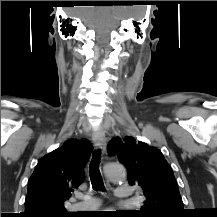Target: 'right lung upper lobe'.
<instances>
[{
  "mask_svg": "<svg viewBox=\"0 0 217 217\" xmlns=\"http://www.w3.org/2000/svg\"><path fill=\"white\" fill-rule=\"evenodd\" d=\"M86 139H70L44 156L28 181L23 217L73 216L64 202L83 182V167L92 152Z\"/></svg>",
  "mask_w": 217,
  "mask_h": 217,
  "instance_id": "obj_1",
  "label": "right lung upper lobe"
}]
</instances>
